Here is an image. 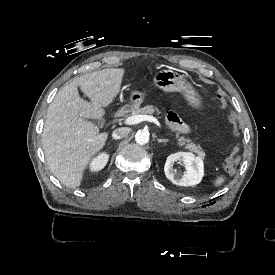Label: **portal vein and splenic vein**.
I'll use <instances>...</instances> for the list:
<instances>
[{
    "label": "portal vein and splenic vein",
    "instance_id": "portal-vein-and-splenic-vein-1",
    "mask_svg": "<svg viewBox=\"0 0 275 275\" xmlns=\"http://www.w3.org/2000/svg\"><path fill=\"white\" fill-rule=\"evenodd\" d=\"M142 121H148V122H153L157 126H160V122L154 117L150 115H134L126 118L125 124L127 125H133V124H138Z\"/></svg>",
    "mask_w": 275,
    "mask_h": 275
}]
</instances>
